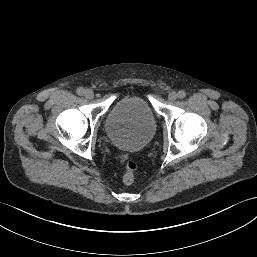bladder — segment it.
Listing matches in <instances>:
<instances>
[{
    "label": "bladder",
    "instance_id": "31cf9c89",
    "mask_svg": "<svg viewBox=\"0 0 257 257\" xmlns=\"http://www.w3.org/2000/svg\"><path fill=\"white\" fill-rule=\"evenodd\" d=\"M105 131L118 148L136 151L153 141L157 124L147 100L131 94L113 103L106 117Z\"/></svg>",
    "mask_w": 257,
    "mask_h": 257
}]
</instances>
